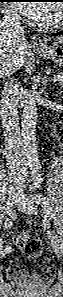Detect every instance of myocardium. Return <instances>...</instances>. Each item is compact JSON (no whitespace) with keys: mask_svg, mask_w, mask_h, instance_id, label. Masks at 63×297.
I'll return each mask as SVG.
<instances>
[{"mask_svg":"<svg viewBox=\"0 0 63 297\" xmlns=\"http://www.w3.org/2000/svg\"><path fill=\"white\" fill-rule=\"evenodd\" d=\"M58 9V18L56 21L52 22V23H42L39 24L38 26L43 28L44 30L47 31H54L56 29H58L61 24H62V19H63V11H62V6H57Z\"/></svg>","mask_w":63,"mask_h":297,"instance_id":"myocardium-1","label":"myocardium"}]
</instances>
